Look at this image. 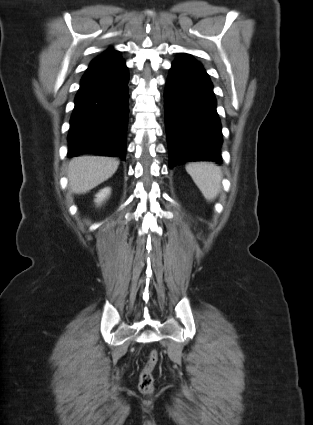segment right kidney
<instances>
[{"instance_id": "1", "label": "right kidney", "mask_w": 313, "mask_h": 425, "mask_svg": "<svg viewBox=\"0 0 313 425\" xmlns=\"http://www.w3.org/2000/svg\"><path fill=\"white\" fill-rule=\"evenodd\" d=\"M111 193V189L109 187L100 190L96 194L95 202L100 205Z\"/></svg>"}]
</instances>
